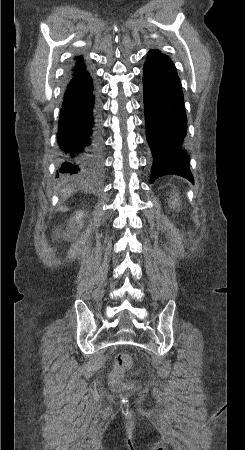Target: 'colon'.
Returning a JSON list of instances; mask_svg holds the SVG:
<instances>
[{"instance_id":"5ec220e1","label":"colon","mask_w":245,"mask_h":450,"mask_svg":"<svg viewBox=\"0 0 245 450\" xmlns=\"http://www.w3.org/2000/svg\"><path fill=\"white\" fill-rule=\"evenodd\" d=\"M131 365L130 355L127 353H118L115 356V369L110 377V385L114 389H121L124 385L122 379L125 375V371Z\"/></svg>"}]
</instances>
